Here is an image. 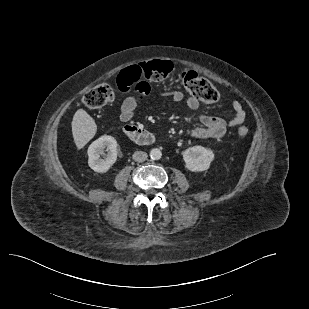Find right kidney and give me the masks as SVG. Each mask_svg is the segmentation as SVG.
Instances as JSON below:
<instances>
[{
  "instance_id": "right-kidney-1",
  "label": "right kidney",
  "mask_w": 309,
  "mask_h": 309,
  "mask_svg": "<svg viewBox=\"0 0 309 309\" xmlns=\"http://www.w3.org/2000/svg\"><path fill=\"white\" fill-rule=\"evenodd\" d=\"M108 154L105 159L104 149ZM88 164L97 173H106L117 160V141L112 136L104 135L95 140L88 148Z\"/></svg>"
}]
</instances>
